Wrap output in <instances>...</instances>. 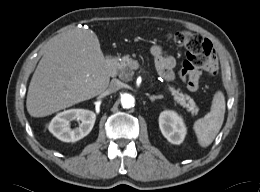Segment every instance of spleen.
Instances as JSON below:
<instances>
[{
    "instance_id": "3e777b00",
    "label": "spleen",
    "mask_w": 260,
    "mask_h": 192,
    "mask_svg": "<svg viewBox=\"0 0 260 192\" xmlns=\"http://www.w3.org/2000/svg\"><path fill=\"white\" fill-rule=\"evenodd\" d=\"M225 106L223 92L217 91L213 96L210 112L195 121L193 129L201 147L209 146L220 131L224 121Z\"/></svg>"
}]
</instances>
